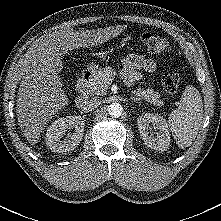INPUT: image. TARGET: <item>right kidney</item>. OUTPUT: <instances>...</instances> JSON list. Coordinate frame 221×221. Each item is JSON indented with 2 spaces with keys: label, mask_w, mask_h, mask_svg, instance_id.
I'll use <instances>...</instances> for the list:
<instances>
[{
  "label": "right kidney",
  "mask_w": 221,
  "mask_h": 221,
  "mask_svg": "<svg viewBox=\"0 0 221 221\" xmlns=\"http://www.w3.org/2000/svg\"><path fill=\"white\" fill-rule=\"evenodd\" d=\"M85 121L81 116H65L55 120L47 129V147L56 153L74 150L83 137ZM75 128L72 135L61 141L67 129Z\"/></svg>",
  "instance_id": "ca27d5eb"
}]
</instances>
